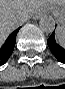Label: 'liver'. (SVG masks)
<instances>
[{"mask_svg":"<svg viewBox=\"0 0 65 89\" xmlns=\"http://www.w3.org/2000/svg\"><path fill=\"white\" fill-rule=\"evenodd\" d=\"M63 5L58 0H0V42L3 43L20 19H29L41 8Z\"/></svg>","mask_w":65,"mask_h":89,"instance_id":"6515ba94","label":"liver"}]
</instances>
